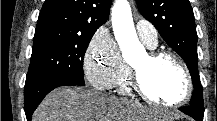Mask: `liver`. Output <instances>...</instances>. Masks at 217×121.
I'll return each instance as SVG.
<instances>
[{
  "mask_svg": "<svg viewBox=\"0 0 217 121\" xmlns=\"http://www.w3.org/2000/svg\"><path fill=\"white\" fill-rule=\"evenodd\" d=\"M153 115L138 103L80 87H59L41 102L32 121H148Z\"/></svg>",
  "mask_w": 217,
  "mask_h": 121,
  "instance_id": "1",
  "label": "liver"
}]
</instances>
